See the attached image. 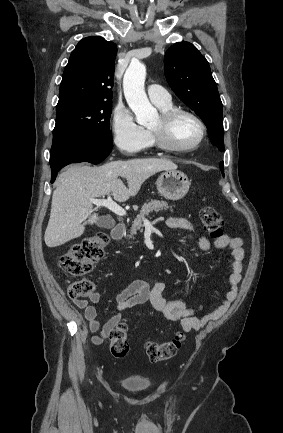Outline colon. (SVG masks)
Wrapping results in <instances>:
<instances>
[{
  "instance_id": "obj_1",
  "label": "colon",
  "mask_w": 283,
  "mask_h": 433,
  "mask_svg": "<svg viewBox=\"0 0 283 433\" xmlns=\"http://www.w3.org/2000/svg\"><path fill=\"white\" fill-rule=\"evenodd\" d=\"M202 226L213 238H220L226 227L221 214L212 206H204L200 211ZM108 242L106 234L100 232L91 235L82 241L74 244L59 261L62 271L74 277L88 274L93 265L103 257ZM94 285L88 279H80L71 283L68 287V295L72 299H82L93 292ZM128 326L122 320L109 337V348L115 358H125L130 351L127 339ZM184 341V336L177 333L169 341L157 343L146 341L145 352L151 362H159L172 358Z\"/></svg>"
}]
</instances>
